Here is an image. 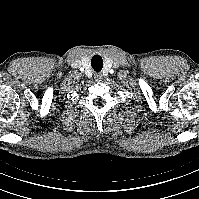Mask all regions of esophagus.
Masks as SVG:
<instances>
[{
    "mask_svg": "<svg viewBox=\"0 0 199 199\" xmlns=\"http://www.w3.org/2000/svg\"><path fill=\"white\" fill-rule=\"evenodd\" d=\"M94 78H95V81L100 82L103 79V74L102 73H96Z\"/></svg>",
    "mask_w": 199,
    "mask_h": 199,
    "instance_id": "esophagus-1",
    "label": "esophagus"
}]
</instances>
